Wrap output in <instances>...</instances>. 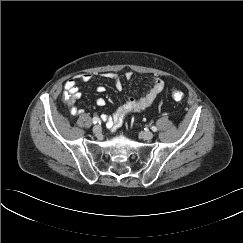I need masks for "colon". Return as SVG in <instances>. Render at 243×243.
<instances>
[{
  "instance_id": "colon-1",
  "label": "colon",
  "mask_w": 243,
  "mask_h": 243,
  "mask_svg": "<svg viewBox=\"0 0 243 243\" xmlns=\"http://www.w3.org/2000/svg\"><path fill=\"white\" fill-rule=\"evenodd\" d=\"M172 97L176 100V101H181L184 98V94L182 91L180 90H174L172 92Z\"/></svg>"
}]
</instances>
